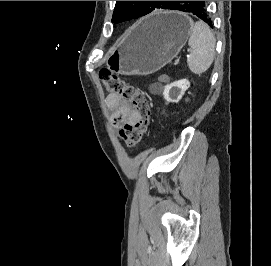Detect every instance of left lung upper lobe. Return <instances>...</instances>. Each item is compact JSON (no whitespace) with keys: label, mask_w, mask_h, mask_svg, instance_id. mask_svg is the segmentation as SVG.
Segmentation results:
<instances>
[{"label":"left lung upper lobe","mask_w":271,"mask_h":266,"mask_svg":"<svg viewBox=\"0 0 271 266\" xmlns=\"http://www.w3.org/2000/svg\"><path fill=\"white\" fill-rule=\"evenodd\" d=\"M175 1H116L112 22L119 23L147 15L155 9H169Z\"/></svg>","instance_id":"5c2ea615"}]
</instances>
